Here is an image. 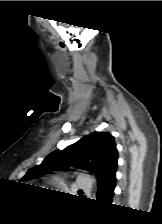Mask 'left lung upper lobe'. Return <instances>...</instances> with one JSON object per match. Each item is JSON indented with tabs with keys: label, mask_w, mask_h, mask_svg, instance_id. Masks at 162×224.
<instances>
[{
	"label": "left lung upper lobe",
	"mask_w": 162,
	"mask_h": 224,
	"mask_svg": "<svg viewBox=\"0 0 162 224\" xmlns=\"http://www.w3.org/2000/svg\"><path fill=\"white\" fill-rule=\"evenodd\" d=\"M118 152L114 137L107 132H96L81 138L63 150L50 153L44 161L28 170L23 181L42 175L49 171L74 165L94 172L100 185L117 169Z\"/></svg>",
	"instance_id": "5c2ea615"
}]
</instances>
